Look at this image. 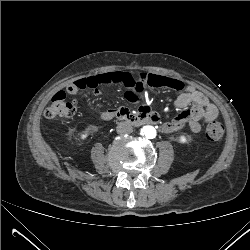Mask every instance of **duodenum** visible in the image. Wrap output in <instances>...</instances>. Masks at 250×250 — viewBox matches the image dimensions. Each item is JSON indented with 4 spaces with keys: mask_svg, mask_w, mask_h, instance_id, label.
<instances>
[{
    "mask_svg": "<svg viewBox=\"0 0 250 250\" xmlns=\"http://www.w3.org/2000/svg\"><path fill=\"white\" fill-rule=\"evenodd\" d=\"M126 117L129 121L135 124L149 123L156 124L158 122V117L153 111H144L138 115H132L128 110L124 109H109L101 114V119L104 121H109L114 118Z\"/></svg>",
    "mask_w": 250,
    "mask_h": 250,
    "instance_id": "obj_1",
    "label": "duodenum"
}]
</instances>
